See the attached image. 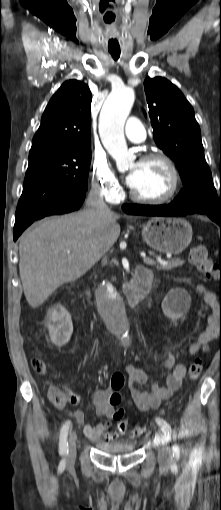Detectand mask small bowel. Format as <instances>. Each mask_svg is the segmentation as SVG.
<instances>
[{
  "label": "small bowel",
  "mask_w": 221,
  "mask_h": 510,
  "mask_svg": "<svg viewBox=\"0 0 221 510\" xmlns=\"http://www.w3.org/2000/svg\"><path fill=\"white\" fill-rule=\"evenodd\" d=\"M197 290L203 295L212 313L207 319L205 330L188 345L186 356H195L201 351L206 350L209 342L216 338L221 330L220 303L216 295L203 284H198ZM164 366L170 370L169 374L164 375L165 385L151 383L149 390L143 389V386L148 383L146 372L136 368L133 364L126 366L129 392L140 411L158 408L162 401L171 397L180 388L187 374L186 365L177 363L175 355L166 349ZM113 393L110 389H96L90 395V404L94 407L96 414L100 417H105L107 421L92 425L86 423L83 411L77 410L73 414L76 422L84 425V433L92 441L104 442L103 437L106 434L110 435L108 441L114 440L118 436L117 432L110 431V420L114 419V414L118 409V406L113 405L110 401ZM119 431L122 432L123 430L119 429Z\"/></svg>",
  "instance_id": "c3829d8e"
}]
</instances>
